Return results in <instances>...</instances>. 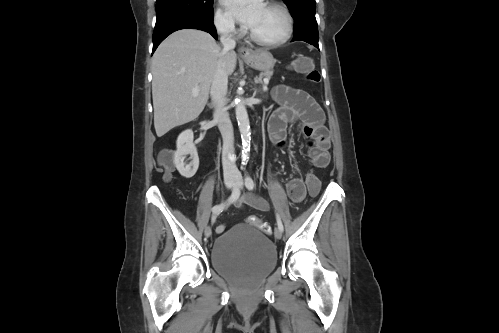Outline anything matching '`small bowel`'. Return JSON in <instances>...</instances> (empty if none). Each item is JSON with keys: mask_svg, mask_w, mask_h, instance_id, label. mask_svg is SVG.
<instances>
[{"mask_svg": "<svg viewBox=\"0 0 499 333\" xmlns=\"http://www.w3.org/2000/svg\"><path fill=\"white\" fill-rule=\"evenodd\" d=\"M273 97L280 105L270 116L268 133L270 140L278 147L284 146L287 129L294 123L299 124L300 131L309 139V157L313 165L323 169L330 162V133L324 124V113L317 102L304 90L278 85L273 89ZM286 190L293 203L301 202L306 195L305 183L300 178L291 179ZM238 208L249 205L257 210L267 211L268 203L255 195L239 196L235 201ZM225 226L217 228L224 231Z\"/></svg>", "mask_w": 499, "mask_h": 333, "instance_id": "small-bowel-1", "label": "small bowel"}]
</instances>
